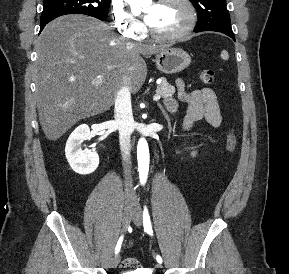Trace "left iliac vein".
I'll use <instances>...</instances> for the list:
<instances>
[{
    "label": "left iliac vein",
    "instance_id": "obj_1",
    "mask_svg": "<svg viewBox=\"0 0 289 274\" xmlns=\"http://www.w3.org/2000/svg\"><path fill=\"white\" fill-rule=\"evenodd\" d=\"M132 221L138 227L141 226V224H142V211H141L139 204H136L134 206ZM156 267L162 268V265L160 263H158V264H156Z\"/></svg>",
    "mask_w": 289,
    "mask_h": 274
}]
</instances>
